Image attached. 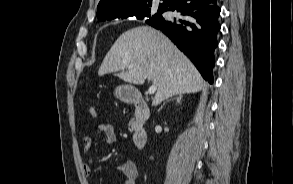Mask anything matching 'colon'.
Listing matches in <instances>:
<instances>
[{
  "label": "colon",
  "mask_w": 293,
  "mask_h": 184,
  "mask_svg": "<svg viewBox=\"0 0 293 184\" xmlns=\"http://www.w3.org/2000/svg\"><path fill=\"white\" fill-rule=\"evenodd\" d=\"M89 112H90V115H91L92 117H95V116L97 115L96 110H95L94 107H90Z\"/></svg>",
  "instance_id": "1"
}]
</instances>
